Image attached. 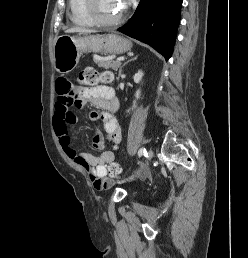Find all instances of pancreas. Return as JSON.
<instances>
[{
    "label": "pancreas",
    "instance_id": "pancreas-1",
    "mask_svg": "<svg viewBox=\"0 0 248 258\" xmlns=\"http://www.w3.org/2000/svg\"><path fill=\"white\" fill-rule=\"evenodd\" d=\"M93 60L99 67H102L105 69L111 68L113 70H117L121 65L120 61L107 60V59L98 57L96 55L93 56Z\"/></svg>",
    "mask_w": 248,
    "mask_h": 258
}]
</instances>
